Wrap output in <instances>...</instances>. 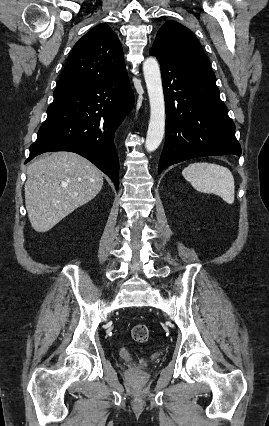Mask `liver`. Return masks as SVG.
<instances>
[{
	"label": "liver",
	"instance_id": "obj_1",
	"mask_svg": "<svg viewBox=\"0 0 269 426\" xmlns=\"http://www.w3.org/2000/svg\"><path fill=\"white\" fill-rule=\"evenodd\" d=\"M103 186V173L71 152L45 154L27 169L25 205L35 231L47 232Z\"/></svg>",
	"mask_w": 269,
	"mask_h": 426
}]
</instances>
